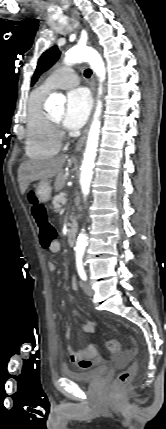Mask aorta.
<instances>
[{"label": "aorta", "instance_id": "aorta-1", "mask_svg": "<svg viewBox=\"0 0 166 429\" xmlns=\"http://www.w3.org/2000/svg\"><path fill=\"white\" fill-rule=\"evenodd\" d=\"M64 61L68 64L78 63V62H88L98 76L100 81V86L98 93L102 94V85L101 83L105 80V64L100 56V54L87 46H75L68 50L65 54ZM65 103V97L63 95L53 93L49 96L47 100V106L49 108H54L57 105H63ZM102 112V102L100 100L97 101L96 110L94 113V118L92 124L90 126L88 139L86 143V149L84 152V158L81 165V177L80 184L83 193L84 199L88 196L90 192V185L93 177V168L94 162L96 158V152L99 141V133H100V115ZM87 245V236L83 232H81L77 238L75 251L77 253H83L85 251Z\"/></svg>", "mask_w": 166, "mask_h": 429}]
</instances>
